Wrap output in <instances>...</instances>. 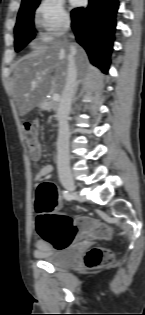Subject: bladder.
I'll return each instance as SVG.
<instances>
[{
    "mask_svg": "<svg viewBox=\"0 0 145 315\" xmlns=\"http://www.w3.org/2000/svg\"><path fill=\"white\" fill-rule=\"evenodd\" d=\"M74 249L79 248H63L50 255L46 262L56 268H69L78 261V256H74Z\"/></svg>",
    "mask_w": 145,
    "mask_h": 315,
    "instance_id": "bladder-1",
    "label": "bladder"
}]
</instances>
